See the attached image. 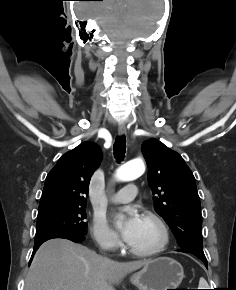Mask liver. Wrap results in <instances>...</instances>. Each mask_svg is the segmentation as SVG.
Masks as SVG:
<instances>
[{
  "label": "liver",
  "mask_w": 236,
  "mask_h": 290,
  "mask_svg": "<svg viewBox=\"0 0 236 290\" xmlns=\"http://www.w3.org/2000/svg\"><path fill=\"white\" fill-rule=\"evenodd\" d=\"M149 260L117 262L66 239H51L37 250L24 290H115Z\"/></svg>",
  "instance_id": "6515ba94"
}]
</instances>
